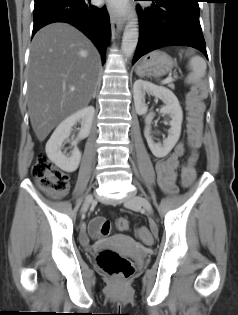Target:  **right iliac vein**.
I'll return each instance as SVG.
<instances>
[{"mask_svg": "<svg viewBox=\"0 0 238 315\" xmlns=\"http://www.w3.org/2000/svg\"><path fill=\"white\" fill-rule=\"evenodd\" d=\"M93 200H94V198L91 194L86 196L84 204L82 206V212L83 213L87 211V209L89 208V206L93 202Z\"/></svg>", "mask_w": 238, "mask_h": 315, "instance_id": "obj_1", "label": "right iliac vein"}]
</instances>
